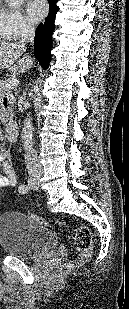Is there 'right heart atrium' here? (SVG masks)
<instances>
[{
  "label": "right heart atrium",
  "mask_w": 129,
  "mask_h": 309,
  "mask_svg": "<svg viewBox=\"0 0 129 309\" xmlns=\"http://www.w3.org/2000/svg\"><path fill=\"white\" fill-rule=\"evenodd\" d=\"M34 30L19 8H0V34L6 40H18Z\"/></svg>",
  "instance_id": "right-heart-atrium-1"
}]
</instances>
